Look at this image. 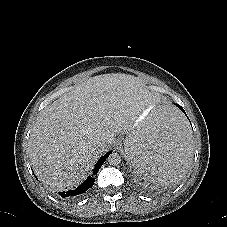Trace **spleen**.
<instances>
[{"label":"spleen","mask_w":227,"mask_h":227,"mask_svg":"<svg viewBox=\"0 0 227 227\" xmlns=\"http://www.w3.org/2000/svg\"><path fill=\"white\" fill-rule=\"evenodd\" d=\"M196 147L187 122L165 100L154 103L151 114L124 138V155L133 173L162 185L187 174Z\"/></svg>","instance_id":"3e777b00"}]
</instances>
